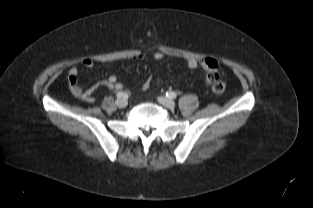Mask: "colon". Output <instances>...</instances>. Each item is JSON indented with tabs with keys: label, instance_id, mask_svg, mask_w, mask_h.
<instances>
[{
	"label": "colon",
	"instance_id": "obj_1",
	"mask_svg": "<svg viewBox=\"0 0 313 208\" xmlns=\"http://www.w3.org/2000/svg\"><path fill=\"white\" fill-rule=\"evenodd\" d=\"M150 85V79L144 83V87L148 88ZM206 85L214 93H222L226 84L219 78V72L217 68H211L206 75Z\"/></svg>",
	"mask_w": 313,
	"mask_h": 208
}]
</instances>
